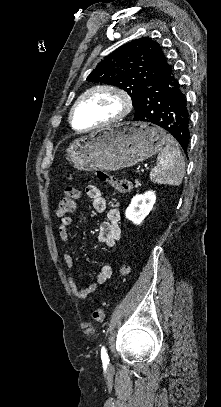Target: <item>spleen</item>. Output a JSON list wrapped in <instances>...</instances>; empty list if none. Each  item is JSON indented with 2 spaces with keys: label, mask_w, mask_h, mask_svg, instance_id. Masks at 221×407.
Here are the masks:
<instances>
[{
  "label": "spleen",
  "mask_w": 221,
  "mask_h": 407,
  "mask_svg": "<svg viewBox=\"0 0 221 407\" xmlns=\"http://www.w3.org/2000/svg\"><path fill=\"white\" fill-rule=\"evenodd\" d=\"M157 160V166L150 172V180L158 184L180 185L185 173V162L172 136H165V147L158 154Z\"/></svg>",
  "instance_id": "obj_1"
}]
</instances>
